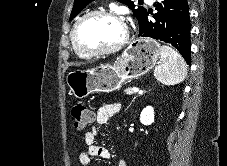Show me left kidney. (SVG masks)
Returning <instances> with one entry per match:
<instances>
[{
	"label": "left kidney",
	"mask_w": 227,
	"mask_h": 166,
	"mask_svg": "<svg viewBox=\"0 0 227 166\" xmlns=\"http://www.w3.org/2000/svg\"><path fill=\"white\" fill-rule=\"evenodd\" d=\"M140 122L143 125H151L154 122V109L151 106L145 107L140 114Z\"/></svg>",
	"instance_id": "5707ae66"
}]
</instances>
